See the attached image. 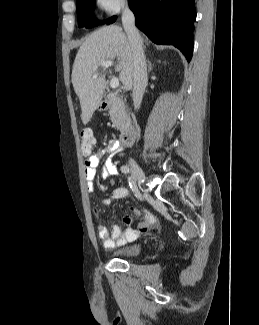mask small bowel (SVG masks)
<instances>
[{
	"label": "small bowel",
	"mask_w": 259,
	"mask_h": 325,
	"mask_svg": "<svg viewBox=\"0 0 259 325\" xmlns=\"http://www.w3.org/2000/svg\"><path fill=\"white\" fill-rule=\"evenodd\" d=\"M122 151V147L118 142H109L103 149L91 154L84 163V173L86 179L87 190L92 193L95 191L94 179L96 177L97 168L102 157L109 155V158L105 160L101 167V177L103 179L114 178L118 176V169L115 164L113 157ZM129 195L128 190L125 187L115 188L109 197L103 198L100 201L101 206H108L112 200L123 199ZM99 215V211H95ZM132 212L136 215H140L138 210L132 209ZM132 217L127 215L124 217V223L130 226L132 223ZM155 219L150 213H146L142 223L149 224ZM98 236L106 249L116 248L118 246L124 245L129 241L135 240L139 234L140 229L133 227H128L124 232L119 225H112L110 230L102 224L99 223L97 226Z\"/></svg>",
	"instance_id": "c3829d8e"
}]
</instances>
